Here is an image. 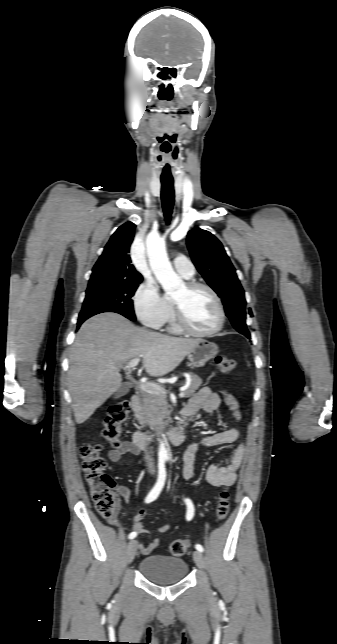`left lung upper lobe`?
I'll list each match as a JSON object with an SVG mask.
<instances>
[{"label":"left lung upper lobe","instance_id":"5c2ea615","mask_svg":"<svg viewBox=\"0 0 337 644\" xmlns=\"http://www.w3.org/2000/svg\"><path fill=\"white\" fill-rule=\"evenodd\" d=\"M187 246L197 270L222 299L234 328L250 339L244 290L221 242L210 232L194 228L188 232Z\"/></svg>","mask_w":337,"mask_h":644}]
</instances>
